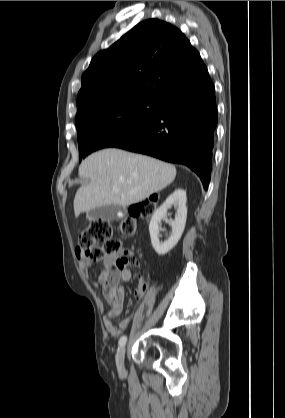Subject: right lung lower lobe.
Segmentation results:
<instances>
[{
    "instance_id": "right-lung-lower-lobe-1",
    "label": "right lung lower lobe",
    "mask_w": 285,
    "mask_h": 418,
    "mask_svg": "<svg viewBox=\"0 0 285 418\" xmlns=\"http://www.w3.org/2000/svg\"><path fill=\"white\" fill-rule=\"evenodd\" d=\"M217 121L215 87L207 73L160 103L149 125L115 147L186 165L207 189Z\"/></svg>"
}]
</instances>
